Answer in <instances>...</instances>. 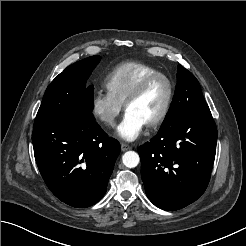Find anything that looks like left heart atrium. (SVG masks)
<instances>
[{"label":"left heart atrium","mask_w":246,"mask_h":246,"mask_svg":"<svg viewBox=\"0 0 246 246\" xmlns=\"http://www.w3.org/2000/svg\"><path fill=\"white\" fill-rule=\"evenodd\" d=\"M146 123L135 113L126 111L117 127V135L127 141H134L142 133Z\"/></svg>","instance_id":"left-heart-atrium-1"}]
</instances>
